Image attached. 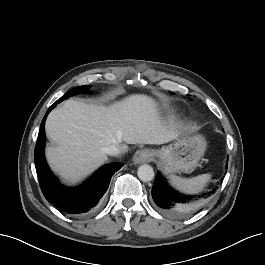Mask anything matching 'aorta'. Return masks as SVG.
<instances>
[{
  "instance_id": "762f6f07",
  "label": "aorta",
  "mask_w": 265,
  "mask_h": 265,
  "mask_svg": "<svg viewBox=\"0 0 265 265\" xmlns=\"http://www.w3.org/2000/svg\"><path fill=\"white\" fill-rule=\"evenodd\" d=\"M138 177L143 182H149L154 178V170L150 165L144 164L138 168Z\"/></svg>"
}]
</instances>
